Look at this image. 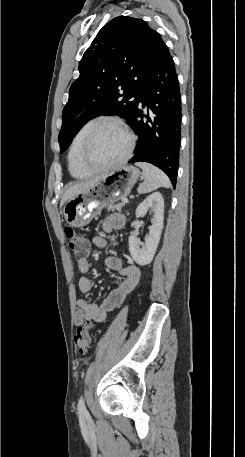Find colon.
I'll use <instances>...</instances> for the list:
<instances>
[{"mask_svg": "<svg viewBox=\"0 0 245 457\" xmlns=\"http://www.w3.org/2000/svg\"><path fill=\"white\" fill-rule=\"evenodd\" d=\"M65 233L68 239V246L71 252L78 258H87L90 252V245L88 241L79 236L71 227L65 228ZM91 323H85L78 326L74 334L75 347L81 354H85L91 344Z\"/></svg>", "mask_w": 245, "mask_h": 457, "instance_id": "obj_1", "label": "colon"}]
</instances>
